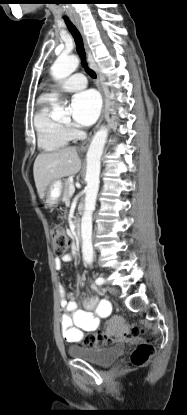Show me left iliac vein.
I'll return each instance as SVG.
<instances>
[{"label":"left iliac vein","mask_w":187,"mask_h":415,"mask_svg":"<svg viewBox=\"0 0 187 415\" xmlns=\"http://www.w3.org/2000/svg\"><path fill=\"white\" fill-rule=\"evenodd\" d=\"M107 289L113 295H116L118 293L115 287L108 286Z\"/></svg>","instance_id":"4c4485c4"}]
</instances>
